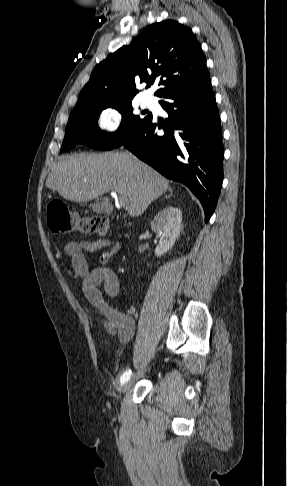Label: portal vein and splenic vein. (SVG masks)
I'll use <instances>...</instances> for the list:
<instances>
[{
  "mask_svg": "<svg viewBox=\"0 0 287 486\" xmlns=\"http://www.w3.org/2000/svg\"><path fill=\"white\" fill-rule=\"evenodd\" d=\"M111 195H112V196H116V193H115V192H111ZM118 202H119V204H120L121 206H125V205H127L128 200H127L125 197H123V196H119V198H118Z\"/></svg>",
  "mask_w": 287,
  "mask_h": 486,
  "instance_id": "portal-vein-and-splenic-vein-1",
  "label": "portal vein and splenic vein"
}]
</instances>
